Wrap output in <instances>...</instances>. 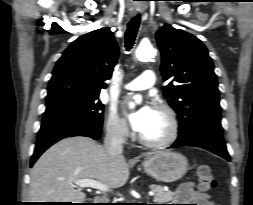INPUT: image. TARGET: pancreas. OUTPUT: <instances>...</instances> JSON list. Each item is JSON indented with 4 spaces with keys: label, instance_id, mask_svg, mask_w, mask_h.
Masks as SVG:
<instances>
[{
    "label": "pancreas",
    "instance_id": "obj_1",
    "mask_svg": "<svg viewBox=\"0 0 253 205\" xmlns=\"http://www.w3.org/2000/svg\"><path fill=\"white\" fill-rule=\"evenodd\" d=\"M151 190L154 192V201L158 203H165L171 201L173 198L172 192H165L162 186L159 185H151Z\"/></svg>",
    "mask_w": 253,
    "mask_h": 205
}]
</instances>
